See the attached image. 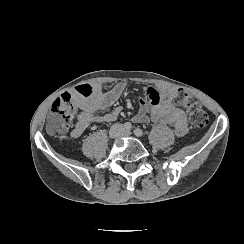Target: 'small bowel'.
<instances>
[{"instance_id":"obj_1","label":"small bowel","mask_w":244,"mask_h":244,"mask_svg":"<svg viewBox=\"0 0 244 244\" xmlns=\"http://www.w3.org/2000/svg\"><path fill=\"white\" fill-rule=\"evenodd\" d=\"M106 83L96 82L86 84L73 90L70 95L79 114L71 131L73 137L80 136L92 123H112L120 115L121 109L99 115L114 105L128 91V85L124 82L117 83L113 88L105 91ZM92 90L91 93H81L80 90ZM177 90L170 86L148 88L138 94L139 110L134 116L135 122H153L161 127H170L176 137H185L189 132L186 113L173 104Z\"/></svg>"}]
</instances>
